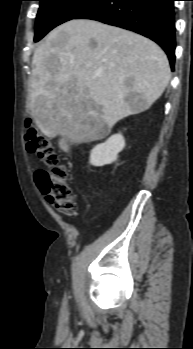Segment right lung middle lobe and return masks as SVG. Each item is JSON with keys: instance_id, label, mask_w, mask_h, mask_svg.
<instances>
[{"instance_id": "right-lung-middle-lobe-1", "label": "right lung middle lobe", "mask_w": 193, "mask_h": 349, "mask_svg": "<svg viewBox=\"0 0 193 349\" xmlns=\"http://www.w3.org/2000/svg\"><path fill=\"white\" fill-rule=\"evenodd\" d=\"M40 8L36 18L35 38L39 41L51 29L74 19L97 0H38Z\"/></svg>"}]
</instances>
